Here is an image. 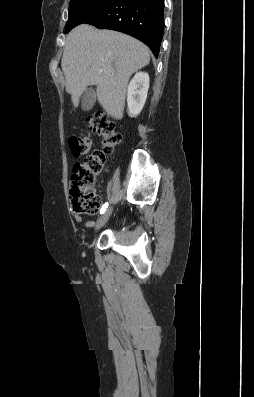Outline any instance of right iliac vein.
Instances as JSON below:
<instances>
[{"mask_svg": "<svg viewBox=\"0 0 254 397\" xmlns=\"http://www.w3.org/2000/svg\"><path fill=\"white\" fill-rule=\"evenodd\" d=\"M111 213H112V207H109L97 221L95 228L96 230H99L108 221Z\"/></svg>", "mask_w": 254, "mask_h": 397, "instance_id": "1", "label": "right iliac vein"}]
</instances>
